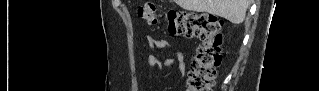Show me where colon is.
<instances>
[{"label": "colon", "mask_w": 319, "mask_h": 91, "mask_svg": "<svg viewBox=\"0 0 319 91\" xmlns=\"http://www.w3.org/2000/svg\"><path fill=\"white\" fill-rule=\"evenodd\" d=\"M138 17L151 26H163L172 36H198L202 44L197 48L186 79L188 91H211L216 68L221 61L223 43L219 19L208 13L161 12L155 3H146L138 10Z\"/></svg>", "instance_id": "1"}]
</instances>
